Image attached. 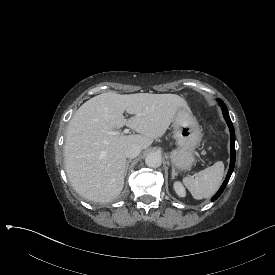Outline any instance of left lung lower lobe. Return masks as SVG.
I'll use <instances>...</instances> for the list:
<instances>
[{
  "label": "left lung lower lobe",
  "instance_id": "1",
  "mask_svg": "<svg viewBox=\"0 0 275 275\" xmlns=\"http://www.w3.org/2000/svg\"><path fill=\"white\" fill-rule=\"evenodd\" d=\"M223 111V116L229 126L230 129V137H231V160H230V167H229V171L228 174L226 176L225 181L223 182L222 186L220 187V189L218 190V192L212 197V201H215L224 191L226 184L228 183L230 176L233 172L234 169V165H235V132H234V127L233 124L231 122V119L229 117V113L227 109L222 110Z\"/></svg>",
  "mask_w": 275,
  "mask_h": 275
}]
</instances>
